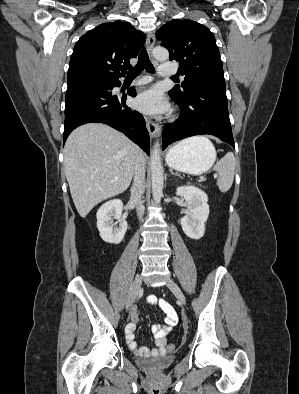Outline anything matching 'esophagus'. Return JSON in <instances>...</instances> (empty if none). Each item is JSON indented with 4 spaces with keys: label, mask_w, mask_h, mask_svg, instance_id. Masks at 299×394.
<instances>
[{
    "label": "esophagus",
    "mask_w": 299,
    "mask_h": 394,
    "mask_svg": "<svg viewBox=\"0 0 299 394\" xmlns=\"http://www.w3.org/2000/svg\"><path fill=\"white\" fill-rule=\"evenodd\" d=\"M154 44H155V35L153 32H149L147 34V40H146V47H147V51L149 53H151V51L154 47ZM146 125H147V129L149 131V134L152 137H155L160 132V129H161L160 126L148 118H146Z\"/></svg>",
    "instance_id": "esophagus-1"
}]
</instances>
